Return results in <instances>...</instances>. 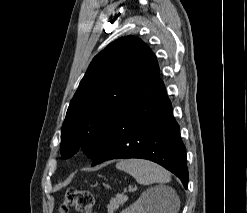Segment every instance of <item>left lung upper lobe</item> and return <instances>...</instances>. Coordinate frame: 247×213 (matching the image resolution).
Wrapping results in <instances>:
<instances>
[{"instance_id":"1","label":"left lung upper lobe","mask_w":247,"mask_h":213,"mask_svg":"<svg viewBox=\"0 0 247 213\" xmlns=\"http://www.w3.org/2000/svg\"><path fill=\"white\" fill-rule=\"evenodd\" d=\"M157 65L153 52L133 36L119 38L98 53L67 110L61 157L69 158L81 147L94 159L150 69Z\"/></svg>"}]
</instances>
